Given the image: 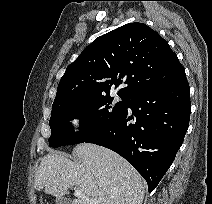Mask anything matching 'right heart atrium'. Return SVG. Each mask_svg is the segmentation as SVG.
Masks as SVG:
<instances>
[{
	"instance_id": "right-heart-atrium-1",
	"label": "right heart atrium",
	"mask_w": 212,
	"mask_h": 204,
	"mask_svg": "<svg viewBox=\"0 0 212 204\" xmlns=\"http://www.w3.org/2000/svg\"><path fill=\"white\" fill-rule=\"evenodd\" d=\"M70 129L74 134H80L84 129V117L76 114L69 120Z\"/></svg>"
}]
</instances>
